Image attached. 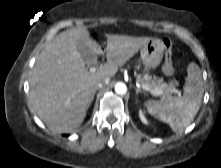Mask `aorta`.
I'll return each instance as SVG.
<instances>
[{
  "label": "aorta",
  "instance_id": "obj_1",
  "mask_svg": "<svg viewBox=\"0 0 221 168\" xmlns=\"http://www.w3.org/2000/svg\"><path fill=\"white\" fill-rule=\"evenodd\" d=\"M127 91V87L124 83H117L115 85V92L120 95H124Z\"/></svg>",
  "mask_w": 221,
  "mask_h": 168
}]
</instances>
